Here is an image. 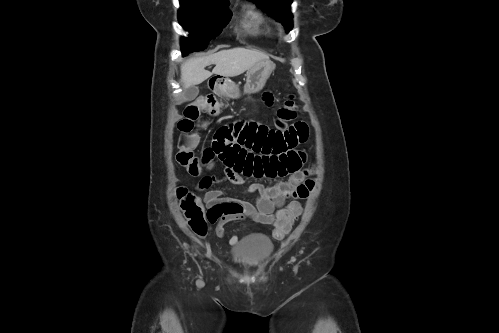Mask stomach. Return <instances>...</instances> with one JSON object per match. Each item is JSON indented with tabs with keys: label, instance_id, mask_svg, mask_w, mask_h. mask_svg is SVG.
<instances>
[{
	"label": "stomach",
	"instance_id": "0dacf381",
	"mask_svg": "<svg viewBox=\"0 0 499 333\" xmlns=\"http://www.w3.org/2000/svg\"><path fill=\"white\" fill-rule=\"evenodd\" d=\"M274 69L275 65L270 60H262L256 63L247 72L244 93L254 94L260 92ZM213 89L219 97L236 99L240 96L238 85L228 78L218 79Z\"/></svg>",
	"mask_w": 499,
	"mask_h": 333
}]
</instances>
